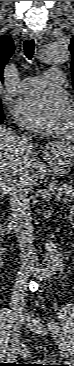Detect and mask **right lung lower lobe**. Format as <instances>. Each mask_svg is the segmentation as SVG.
Returning a JSON list of instances; mask_svg holds the SVG:
<instances>
[{
    "label": "right lung lower lobe",
    "mask_w": 74,
    "mask_h": 366,
    "mask_svg": "<svg viewBox=\"0 0 74 366\" xmlns=\"http://www.w3.org/2000/svg\"><path fill=\"white\" fill-rule=\"evenodd\" d=\"M2 119H3V115L0 117V120L2 121Z\"/></svg>",
    "instance_id": "obj_1"
}]
</instances>
